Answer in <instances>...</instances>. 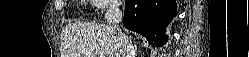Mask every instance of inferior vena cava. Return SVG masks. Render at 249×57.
I'll return each mask as SVG.
<instances>
[{
    "instance_id": "inferior-vena-cava-1",
    "label": "inferior vena cava",
    "mask_w": 249,
    "mask_h": 57,
    "mask_svg": "<svg viewBox=\"0 0 249 57\" xmlns=\"http://www.w3.org/2000/svg\"><path fill=\"white\" fill-rule=\"evenodd\" d=\"M123 3L118 1L110 5L109 9L105 13L106 26L117 35L119 41L122 57H135V49L131 43V40L121 31L117 25L123 19L122 11Z\"/></svg>"
}]
</instances>
